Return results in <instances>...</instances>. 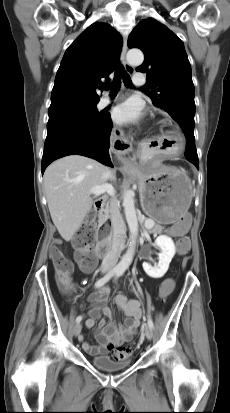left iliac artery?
<instances>
[{"mask_svg":"<svg viewBox=\"0 0 230 413\" xmlns=\"http://www.w3.org/2000/svg\"><path fill=\"white\" fill-rule=\"evenodd\" d=\"M122 274H123V271H122V270H121V271H117L115 278L117 279V278L120 277ZM147 323H148V326H149L151 329L154 328V324H153V321H152L150 315H148V321H147Z\"/></svg>","mask_w":230,"mask_h":413,"instance_id":"44dca946","label":"left iliac artery"}]
</instances>
